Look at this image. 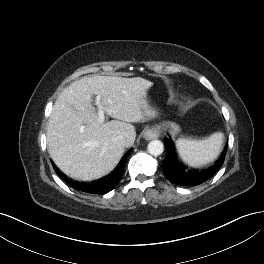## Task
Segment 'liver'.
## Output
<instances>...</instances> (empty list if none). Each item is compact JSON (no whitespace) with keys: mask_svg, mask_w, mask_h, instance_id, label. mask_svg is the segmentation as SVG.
<instances>
[{"mask_svg":"<svg viewBox=\"0 0 264 264\" xmlns=\"http://www.w3.org/2000/svg\"><path fill=\"white\" fill-rule=\"evenodd\" d=\"M152 86L141 77L84 76L66 87L53 106L46 134L48 152L58 168L79 180L109 173L135 141L132 123L156 116L144 99ZM93 95L101 97L104 110L116 120H98ZM118 136L126 138V146L114 141Z\"/></svg>","mask_w":264,"mask_h":264,"instance_id":"6515ba94","label":"liver"}]
</instances>
